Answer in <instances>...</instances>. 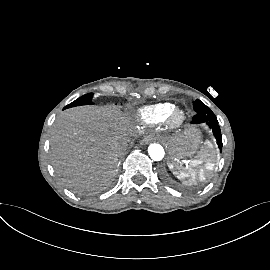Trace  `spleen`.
Wrapping results in <instances>:
<instances>
[{"instance_id": "obj_1", "label": "spleen", "mask_w": 270, "mask_h": 270, "mask_svg": "<svg viewBox=\"0 0 270 270\" xmlns=\"http://www.w3.org/2000/svg\"><path fill=\"white\" fill-rule=\"evenodd\" d=\"M212 147L211 143L206 142L198 152L197 159L186 163L185 172L179 178L191 177L195 180L198 177L200 180H205L206 176L214 167V163L212 162Z\"/></svg>"}]
</instances>
